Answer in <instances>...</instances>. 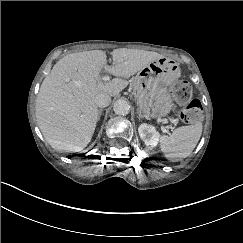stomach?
Here are the masks:
<instances>
[{"label": "stomach", "instance_id": "stomach-1", "mask_svg": "<svg viewBox=\"0 0 243 243\" xmlns=\"http://www.w3.org/2000/svg\"><path fill=\"white\" fill-rule=\"evenodd\" d=\"M180 76L176 62L161 57L140 70L133 79V94L146 117L161 119L173 108L168 87Z\"/></svg>", "mask_w": 243, "mask_h": 243}]
</instances>
